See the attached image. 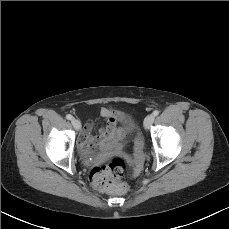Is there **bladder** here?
I'll use <instances>...</instances> for the list:
<instances>
[{
  "mask_svg": "<svg viewBox=\"0 0 229 229\" xmlns=\"http://www.w3.org/2000/svg\"><path fill=\"white\" fill-rule=\"evenodd\" d=\"M138 125L135 121H130L125 125L121 142L127 144L136 135Z\"/></svg>",
  "mask_w": 229,
  "mask_h": 229,
  "instance_id": "bladder-1",
  "label": "bladder"
}]
</instances>
